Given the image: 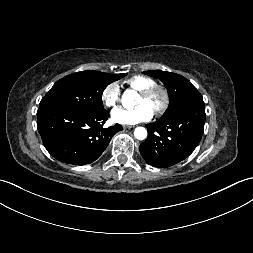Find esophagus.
Wrapping results in <instances>:
<instances>
[{
	"label": "esophagus",
	"mask_w": 253,
	"mask_h": 253,
	"mask_svg": "<svg viewBox=\"0 0 253 253\" xmlns=\"http://www.w3.org/2000/svg\"><path fill=\"white\" fill-rule=\"evenodd\" d=\"M134 127H135L134 125H123L124 129H131V128H134Z\"/></svg>",
	"instance_id": "obj_1"
}]
</instances>
